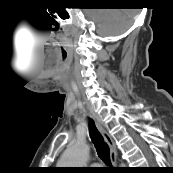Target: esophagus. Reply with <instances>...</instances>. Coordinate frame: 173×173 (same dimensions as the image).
<instances>
[{
  "label": "esophagus",
  "instance_id": "esophagus-1",
  "mask_svg": "<svg viewBox=\"0 0 173 173\" xmlns=\"http://www.w3.org/2000/svg\"><path fill=\"white\" fill-rule=\"evenodd\" d=\"M95 123L98 130L100 131V133L102 134V136L104 137L106 143L108 144L110 148V160L112 165L115 167L117 165V151H116L115 143L112 137L110 136V134L104 129V127L97 120H95Z\"/></svg>",
  "mask_w": 173,
  "mask_h": 173
}]
</instances>
